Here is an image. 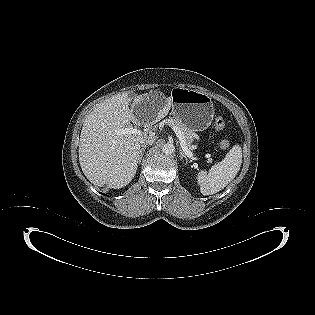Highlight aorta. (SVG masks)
Segmentation results:
<instances>
[{
  "label": "aorta",
  "mask_w": 315,
  "mask_h": 315,
  "mask_svg": "<svg viewBox=\"0 0 315 315\" xmlns=\"http://www.w3.org/2000/svg\"><path fill=\"white\" fill-rule=\"evenodd\" d=\"M175 151V146L172 143H166L164 144V146L162 147V152L166 155H170L173 154Z\"/></svg>",
  "instance_id": "762f6f07"
}]
</instances>
